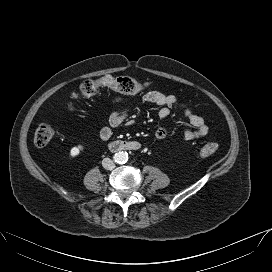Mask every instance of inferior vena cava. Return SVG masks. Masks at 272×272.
<instances>
[{"label":"inferior vena cava","mask_w":272,"mask_h":272,"mask_svg":"<svg viewBox=\"0 0 272 272\" xmlns=\"http://www.w3.org/2000/svg\"><path fill=\"white\" fill-rule=\"evenodd\" d=\"M102 166L107 169V170H112L115 168V163L112 159L110 158H104L102 160Z\"/></svg>","instance_id":"inferior-vena-cava-1"}]
</instances>
